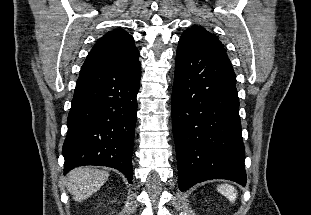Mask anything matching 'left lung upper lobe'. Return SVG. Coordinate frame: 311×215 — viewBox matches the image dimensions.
I'll use <instances>...</instances> for the list:
<instances>
[{
	"instance_id": "5c2ea615",
	"label": "left lung upper lobe",
	"mask_w": 311,
	"mask_h": 215,
	"mask_svg": "<svg viewBox=\"0 0 311 215\" xmlns=\"http://www.w3.org/2000/svg\"><path fill=\"white\" fill-rule=\"evenodd\" d=\"M182 36L207 42L226 54V49L218 38L200 26L194 25L191 28L186 29Z\"/></svg>"
}]
</instances>
